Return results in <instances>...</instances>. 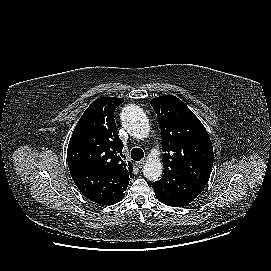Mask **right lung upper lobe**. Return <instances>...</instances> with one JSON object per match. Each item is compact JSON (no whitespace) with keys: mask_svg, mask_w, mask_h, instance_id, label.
<instances>
[{"mask_svg":"<svg viewBox=\"0 0 271 271\" xmlns=\"http://www.w3.org/2000/svg\"><path fill=\"white\" fill-rule=\"evenodd\" d=\"M123 101L122 98L101 97L85 110L69 141V168H92L119 175L124 182H129L132 165L121 158L123 143L114 120V111Z\"/></svg>","mask_w":271,"mask_h":271,"instance_id":"obj_1","label":"right lung upper lobe"}]
</instances>
